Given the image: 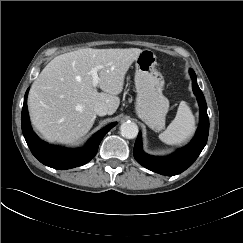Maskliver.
<instances>
[{"label": "liver", "mask_w": 243, "mask_h": 243, "mask_svg": "<svg viewBox=\"0 0 243 243\" xmlns=\"http://www.w3.org/2000/svg\"><path fill=\"white\" fill-rule=\"evenodd\" d=\"M142 52L138 48H84L52 59L33 82L28 107L33 126L48 142L73 143L92 128L94 106L104 103L108 115L120 104L125 75ZM98 70V92L93 86L90 70Z\"/></svg>", "instance_id": "1"}]
</instances>
